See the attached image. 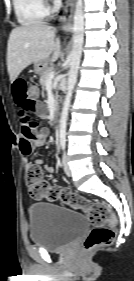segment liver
<instances>
[{"mask_svg":"<svg viewBox=\"0 0 134 281\" xmlns=\"http://www.w3.org/2000/svg\"><path fill=\"white\" fill-rule=\"evenodd\" d=\"M55 28L43 22H33L12 30L7 46V69L13 82L29 65L36 62L56 61L60 56V40Z\"/></svg>","mask_w":134,"mask_h":281,"instance_id":"6515ba94","label":"liver"}]
</instances>
